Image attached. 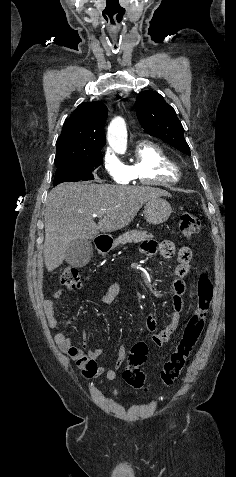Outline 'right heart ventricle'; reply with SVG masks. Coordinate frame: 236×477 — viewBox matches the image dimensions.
<instances>
[{
	"instance_id": "right-heart-ventricle-1",
	"label": "right heart ventricle",
	"mask_w": 236,
	"mask_h": 477,
	"mask_svg": "<svg viewBox=\"0 0 236 477\" xmlns=\"http://www.w3.org/2000/svg\"><path fill=\"white\" fill-rule=\"evenodd\" d=\"M127 169L130 181L144 185L175 184L180 178L175 161L161 146L151 141L137 145L134 159Z\"/></svg>"
}]
</instances>
